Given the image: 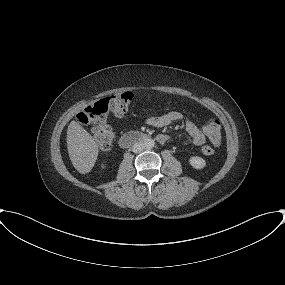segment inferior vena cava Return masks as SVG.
<instances>
[{
    "mask_svg": "<svg viewBox=\"0 0 285 285\" xmlns=\"http://www.w3.org/2000/svg\"><path fill=\"white\" fill-rule=\"evenodd\" d=\"M144 149H145V145L141 142L135 143L132 146V151L133 153H136V154L142 152Z\"/></svg>",
    "mask_w": 285,
    "mask_h": 285,
    "instance_id": "inferior-vena-cava-1",
    "label": "inferior vena cava"
}]
</instances>
